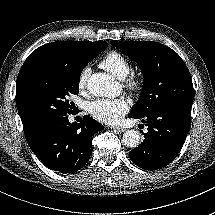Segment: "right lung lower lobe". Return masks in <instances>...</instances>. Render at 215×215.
Returning <instances> with one entry per match:
<instances>
[{"mask_svg":"<svg viewBox=\"0 0 215 215\" xmlns=\"http://www.w3.org/2000/svg\"><path fill=\"white\" fill-rule=\"evenodd\" d=\"M104 126L90 116L81 123H70L67 116L46 120L26 136L28 145L51 170L74 173L89 160L93 134Z\"/></svg>","mask_w":215,"mask_h":215,"instance_id":"1","label":"right lung lower lobe"}]
</instances>
